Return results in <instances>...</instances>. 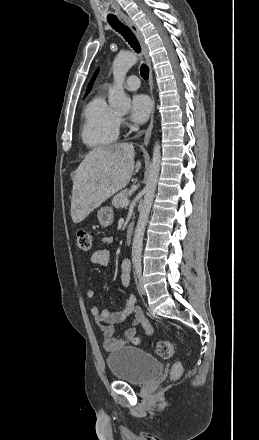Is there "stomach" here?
<instances>
[{"mask_svg": "<svg viewBox=\"0 0 259 440\" xmlns=\"http://www.w3.org/2000/svg\"><path fill=\"white\" fill-rule=\"evenodd\" d=\"M97 218L101 226L111 225L114 219L113 209L109 206L100 208L97 212Z\"/></svg>", "mask_w": 259, "mask_h": 440, "instance_id": "0dacf381", "label": "stomach"}]
</instances>
